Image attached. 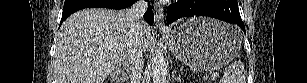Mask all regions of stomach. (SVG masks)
I'll list each match as a JSON object with an SVG mask.
<instances>
[{"mask_svg": "<svg viewBox=\"0 0 307 83\" xmlns=\"http://www.w3.org/2000/svg\"><path fill=\"white\" fill-rule=\"evenodd\" d=\"M173 55L200 71H214L238 54L242 35L236 26L210 18H192L168 33Z\"/></svg>", "mask_w": 307, "mask_h": 83, "instance_id": "stomach-1", "label": "stomach"}]
</instances>
